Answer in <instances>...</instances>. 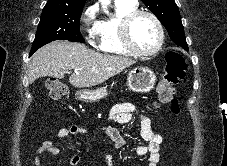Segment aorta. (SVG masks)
<instances>
[{
	"label": "aorta",
	"mask_w": 227,
	"mask_h": 166,
	"mask_svg": "<svg viewBox=\"0 0 227 166\" xmlns=\"http://www.w3.org/2000/svg\"><path fill=\"white\" fill-rule=\"evenodd\" d=\"M100 2H101L102 5H103L104 11H106L107 5H109L110 0H100Z\"/></svg>",
	"instance_id": "aorta-1"
}]
</instances>
